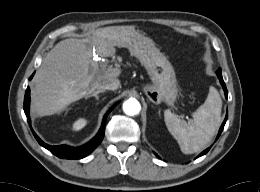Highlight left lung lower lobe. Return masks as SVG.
Wrapping results in <instances>:
<instances>
[{
    "instance_id": "left-lung-lower-lobe-1",
    "label": "left lung lower lobe",
    "mask_w": 260,
    "mask_h": 192,
    "mask_svg": "<svg viewBox=\"0 0 260 192\" xmlns=\"http://www.w3.org/2000/svg\"><path fill=\"white\" fill-rule=\"evenodd\" d=\"M219 80H220V83H221V85H222V87H223V90H224V92H225V97L227 98L228 92H227V88H226V85H225V83H224V81H223L222 76H219ZM227 118H228V114H226L225 120H224V122L222 123V125H221V127H220V130H219V133H218V135H217L216 140L219 138V136H220V134H221V132H222V130H223V128H224V125H225V123H226ZM209 149H210V148H207L206 150H204L198 157H200V156L206 154V153L209 151Z\"/></svg>"
}]
</instances>
